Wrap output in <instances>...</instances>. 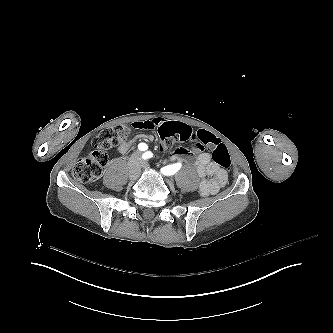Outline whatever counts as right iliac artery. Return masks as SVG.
Segmentation results:
<instances>
[{
	"instance_id": "82829eb1",
	"label": "right iliac artery",
	"mask_w": 333,
	"mask_h": 333,
	"mask_svg": "<svg viewBox=\"0 0 333 333\" xmlns=\"http://www.w3.org/2000/svg\"><path fill=\"white\" fill-rule=\"evenodd\" d=\"M138 148H139V150H141V151H145V150H147L148 146H147V144H145V143H140V144L138 145ZM142 157L144 158V156H142Z\"/></svg>"
}]
</instances>
